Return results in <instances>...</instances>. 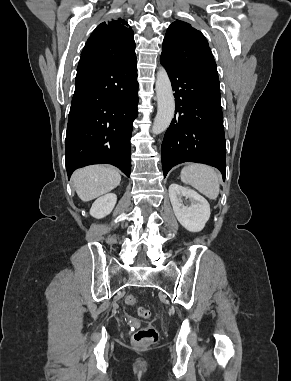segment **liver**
<instances>
[{
	"label": "liver",
	"instance_id": "obj_1",
	"mask_svg": "<svg viewBox=\"0 0 291 381\" xmlns=\"http://www.w3.org/2000/svg\"><path fill=\"white\" fill-rule=\"evenodd\" d=\"M121 181L119 172L112 167L93 165L74 172L72 183L78 197L91 201L116 188Z\"/></svg>",
	"mask_w": 291,
	"mask_h": 381
}]
</instances>
